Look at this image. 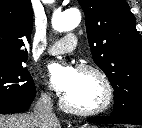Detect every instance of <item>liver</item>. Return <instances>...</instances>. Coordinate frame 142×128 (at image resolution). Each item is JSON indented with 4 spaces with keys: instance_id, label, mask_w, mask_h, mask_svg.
I'll return each mask as SVG.
<instances>
[{
    "instance_id": "obj_1",
    "label": "liver",
    "mask_w": 142,
    "mask_h": 128,
    "mask_svg": "<svg viewBox=\"0 0 142 128\" xmlns=\"http://www.w3.org/2000/svg\"><path fill=\"white\" fill-rule=\"evenodd\" d=\"M38 121L33 114L0 115V128H38ZM52 128H61L59 122Z\"/></svg>"
}]
</instances>
